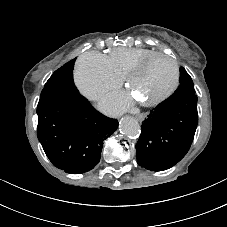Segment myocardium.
<instances>
[{
	"label": "myocardium",
	"mask_w": 227,
	"mask_h": 227,
	"mask_svg": "<svg viewBox=\"0 0 227 227\" xmlns=\"http://www.w3.org/2000/svg\"><path fill=\"white\" fill-rule=\"evenodd\" d=\"M157 57H165L169 59L172 63L173 66V80L170 84V86L163 91L162 93H159L149 99L141 100V103L146 105V106H151L155 105L167 97H169L177 88L178 83H179V77H180V72H179V66L175 58H173L171 55H168L164 52H155L152 53L143 59H141L137 64H135L127 73L126 75V83L131 86L135 76L153 59Z\"/></svg>",
	"instance_id": "f54148a6"
}]
</instances>
